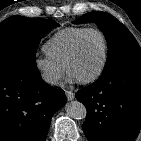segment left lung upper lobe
<instances>
[{
	"instance_id": "obj_1",
	"label": "left lung upper lobe",
	"mask_w": 141,
	"mask_h": 141,
	"mask_svg": "<svg viewBox=\"0 0 141 141\" xmlns=\"http://www.w3.org/2000/svg\"><path fill=\"white\" fill-rule=\"evenodd\" d=\"M92 22L104 32L108 42V56L102 76L128 66H141V49L130 31L108 13L95 11L83 15L75 24Z\"/></svg>"
}]
</instances>
